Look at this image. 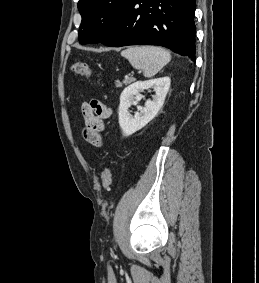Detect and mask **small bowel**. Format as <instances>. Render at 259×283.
I'll return each mask as SVG.
<instances>
[{
    "label": "small bowel",
    "instance_id": "obj_1",
    "mask_svg": "<svg viewBox=\"0 0 259 283\" xmlns=\"http://www.w3.org/2000/svg\"><path fill=\"white\" fill-rule=\"evenodd\" d=\"M81 115L84 122L83 137L96 147L102 146L104 121L111 115V109L98 100L83 103Z\"/></svg>",
    "mask_w": 259,
    "mask_h": 283
}]
</instances>
